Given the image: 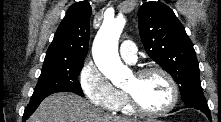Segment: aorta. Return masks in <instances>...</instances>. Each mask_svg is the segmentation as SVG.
I'll use <instances>...</instances> for the list:
<instances>
[{"instance_id": "obj_1", "label": "aorta", "mask_w": 221, "mask_h": 122, "mask_svg": "<svg viewBox=\"0 0 221 122\" xmlns=\"http://www.w3.org/2000/svg\"><path fill=\"white\" fill-rule=\"evenodd\" d=\"M125 22L122 16L105 21L92 47L96 66L115 86H122L128 74V69L123 65L118 54V40Z\"/></svg>"}]
</instances>
